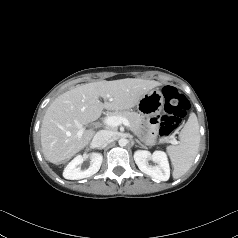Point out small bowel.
<instances>
[{
	"label": "small bowel",
	"instance_id": "c3829d8e",
	"mask_svg": "<svg viewBox=\"0 0 238 238\" xmlns=\"http://www.w3.org/2000/svg\"><path fill=\"white\" fill-rule=\"evenodd\" d=\"M161 121V116L158 113H153L148 118V123L151 125V135L152 137L156 134V125Z\"/></svg>",
	"mask_w": 238,
	"mask_h": 238
}]
</instances>
